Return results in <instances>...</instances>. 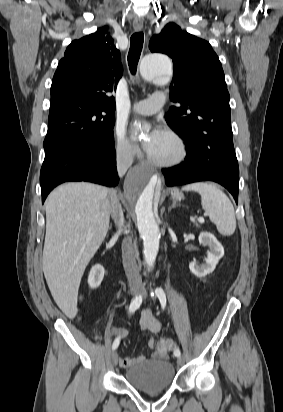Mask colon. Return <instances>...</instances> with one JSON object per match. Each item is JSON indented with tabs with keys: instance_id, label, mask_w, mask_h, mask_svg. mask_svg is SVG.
<instances>
[{
	"instance_id": "5ec220e1",
	"label": "colon",
	"mask_w": 283,
	"mask_h": 412,
	"mask_svg": "<svg viewBox=\"0 0 283 412\" xmlns=\"http://www.w3.org/2000/svg\"><path fill=\"white\" fill-rule=\"evenodd\" d=\"M156 348L158 355L165 357L175 348V343L171 339L163 338L157 342Z\"/></svg>"
}]
</instances>
